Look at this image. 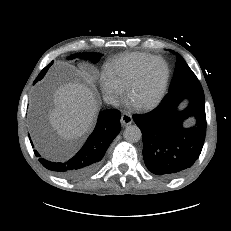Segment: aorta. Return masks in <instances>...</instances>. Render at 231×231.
I'll list each match as a JSON object with an SVG mask.
<instances>
[{
    "instance_id": "obj_1",
    "label": "aorta",
    "mask_w": 231,
    "mask_h": 231,
    "mask_svg": "<svg viewBox=\"0 0 231 231\" xmlns=\"http://www.w3.org/2000/svg\"><path fill=\"white\" fill-rule=\"evenodd\" d=\"M123 137L129 143H136L141 139L142 133L138 126L129 125L125 128Z\"/></svg>"
}]
</instances>
